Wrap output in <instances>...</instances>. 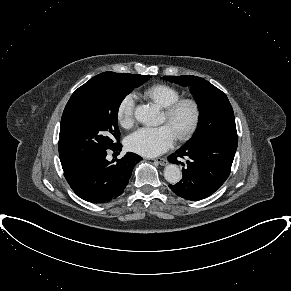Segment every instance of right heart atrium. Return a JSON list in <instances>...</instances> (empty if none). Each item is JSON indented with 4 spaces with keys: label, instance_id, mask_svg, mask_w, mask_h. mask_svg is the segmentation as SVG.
Wrapping results in <instances>:
<instances>
[{
    "label": "right heart atrium",
    "instance_id": "obj_1",
    "mask_svg": "<svg viewBox=\"0 0 291 291\" xmlns=\"http://www.w3.org/2000/svg\"><path fill=\"white\" fill-rule=\"evenodd\" d=\"M136 99L135 95H125L117 106L116 117L119 125L123 128H130L134 123Z\"/></svg>",
    "mask_w": 291,
    "mask_h": 291
}]
</instances>
